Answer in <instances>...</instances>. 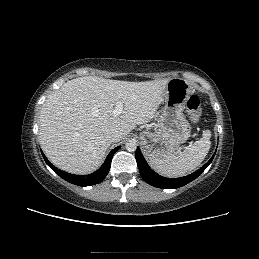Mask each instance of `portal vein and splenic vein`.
Instances as JSON below:
<instances>
[{
    "instance_id": "1",
    "label": "portal vein and splenic vein",
    "mask_w": 259,
    "mask_h": 259,
    "mask_svg": "<svg viewBox=\"0 0 259 259\" xmlns=\"http://www.w3.org/2000/svg\"><path fill=\"white\" fill-rule=\"evenodd\" d=\"M123 111V104L121 102H117L116 105H115V108L113 110V116L114 117H117L119 116Z\"/></svg>"
}]
</instances>
